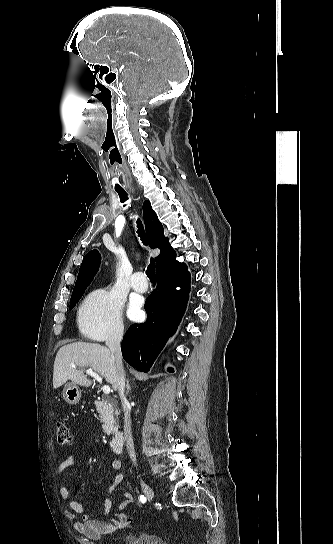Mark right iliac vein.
I'll list each match as a JSON object with an SVG mask.
<instances>
[{"label": "right iliac vein", "mask_w": 333, "mask_h": 544, "mask_svg": "<svg viewBox=\"0 0 333 544\" xmlns=\"http://www.w3.org/2000/svg\"><path fill=\"white\" fill-rule=\"evenodd\" d=\"M140 484H141V487H142L148 501H151L154 498L153 490L142 479H140Z\"/></svg>", "instance_id": "right-iliac-vein-1"}]
</instances>
